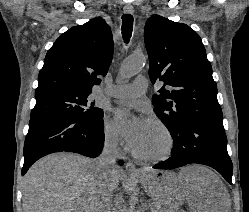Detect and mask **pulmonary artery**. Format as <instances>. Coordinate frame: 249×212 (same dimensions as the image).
I'll use <instances>...</instances> for the list:
<instances>
[{
    "label": "pulmonary artery",
    "mask_w": 249,
    "mask_h": 212,
    "mask_svg": "<svg viewBox=\"0 0 249 212\" xmlns=\"http://www.w3.org/2000/svg\"><path fill=\"white\" fill-rule=\"evenodd\" d=\"M147 87V78L145 76H138L132 83L112 85L106 90V93L116 98L131 99L144 95Z\"/></svg>",
    "instance_id": "obj_1"
}]
</instances>
